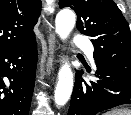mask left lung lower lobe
Returning <instances> with one entry per match:
<instances>
[{
	"label": "left lung lower lobe",
	"mask_w": 131,
	"mask_h": 115,
	"mask_svg": "<svg viewBox=\"0 0 131 115\" xmlns=\"http://www.w3.org/2000/svg\"><path fill=\"white\" fill-rule=\"evenodd\" d=\"M96 62V61H95ZM97 81L86 82L76 71L68 115H96L118 105L131 104V74L96 62Z\"/></svg>",
	"instance_id": "1"
}]
</instances>
